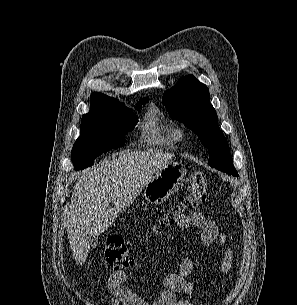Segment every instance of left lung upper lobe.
<instances>
[{
    "label": "left lung upper lobe",
    "instance_id": "5c2ea615",
    "mask_svg": "<svg viewBox=\"0 0 297 305\" xmlns=\"http://www.w3.org/2000/svg\"><path fill=\"white\" fill-rule=\"evenodd\" d=\"M163 102L172 119L183 122L192 129L207 147L208 164L227 174L238 176L223 132L218 127L215 109L210 104L209 90L193 75L177 82L166 90Z\"/></svg>",
    "mask_w": 297,
    "mask_h": 305
}]
</instances>
